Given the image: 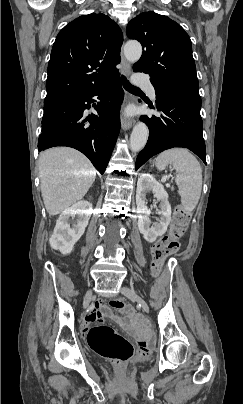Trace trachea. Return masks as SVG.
Returning a JSON list of instances; mask_svg holds the SVG:
<instances>
[{
	"label": "trachea",
	"mask_w": 243,
	"mask_h": 404,
	"mask_svg": "<svg viewBox=\"0 0 243 404\" xmlns=\"http://www.w3.org/2000/svg\"><path fill=\"white\" fill-rule=\"evenodd\" d=\"M121 82L123 84V87L125 88V90L128 91H139L140 89H138V87H134V85H132L127 79L126 77H124V75L121 76Z\"/></svg>",
	"instance_id": "trachea-1"
}]
</instances>
